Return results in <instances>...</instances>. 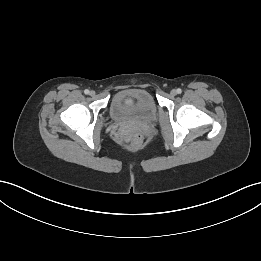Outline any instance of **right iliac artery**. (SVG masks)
<instances>
[{
  "instance_id": "82829eb1",
  "label": "right iliac artery",
  "mask_w": 261,
  "mask_h": 261,
  "mask_svg": "<svg viewBox=\"0 0 261 261\" xmlns=\"http://www.w3.org/2000/svg\"><path fill=\"white\" fill-rule=\"evenodd\" d=\"M84 93H85V94H89L90 91H89L88 89H86V90L84 91Z\"/></svg>"
}]
</instances>
